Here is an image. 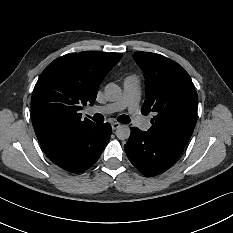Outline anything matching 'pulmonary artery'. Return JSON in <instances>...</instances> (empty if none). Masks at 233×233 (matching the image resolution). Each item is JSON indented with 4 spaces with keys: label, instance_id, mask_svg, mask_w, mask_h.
<instances>
[{
    "label": "pulmonary artery",
    "instance_id": "e3ab8cb5",
    "mask_svg": "<svg viewBox=\"0 0 233 233\" xmlns=\"http://www.w3.org/2000/svg\"><path fill=\"white\" fill-rule=\"evenodd\" d=\"M139 96V80L135 77L127 78L123 83V97L121 100L104 107L93 108L91 112L110 114L128 108L131 113L130 121L132 123H137L141 131H148L150 129V122L146 117H141L139 113Z\"/></svg>",
    "mask_w": 233,
    "mask_h": 233
}]
</instances>
